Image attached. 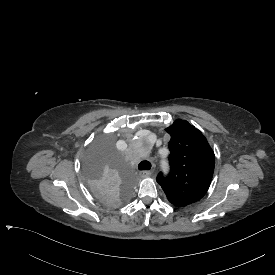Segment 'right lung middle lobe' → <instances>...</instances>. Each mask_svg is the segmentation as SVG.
Listing matches in <instances>:
<instances>
[{
  "mask_svg": "<svg viewBox=\"0 0 275 275\" xmlns=\"http://www.w3.org/2000/svg\"><path fill=\"white\" fill-rule=\"evenodd\" d=\"M84 177L96 201L106 208L126 203L136 184V172L107 136L95 139L87 151Z\"/></svg>",
  "mask_w": 275,
  "mask_h": 275,
  "instance_id": "1",
  "label": "right lung middle lobe"
}]
</instances>
